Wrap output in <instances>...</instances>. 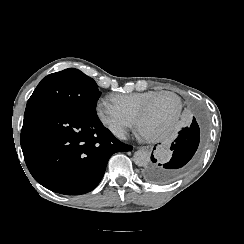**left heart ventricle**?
I'll use <instances>...</instances> for the list:
<instances>
[{
    "label": "left heart ventricle",
    "instance_id": "b2bd125f",
    "mask_svg": "<svg viewBox=\"0 0 244 244\" xmlns=\"http://www.w3.org/2000/svg\"><path fill=\"white\" fill-rule=\"evenodd\" d=\"M178 107V100L172 96H163L157 102H154L146 110L144 121L152 129L160 127V122H165Z\"/></svg>",
    "mask_w": 244,
    "mask_h": 244
}]
</instances>
